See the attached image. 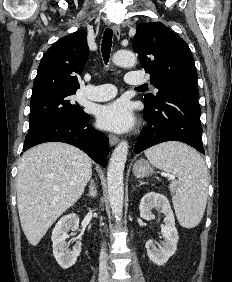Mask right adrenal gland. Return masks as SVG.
I'll return each mask as SVG.
<instances>
[{"mask_svg":"<svg viewBox=\"0 0 232 282\" xmlns=\"http://www.w3.org/2000/svg\"><path fill=\"white\" fill-rule=\"evenodd\" d=\"M96 195H97L96 185L94 183V180L91 179L90 185H89V192H88L87 196L94 199L96 197Z\"/></svg>","mask_w":232,"mask_h":282,"instance_id":"obj_1","label":"right adrenal gland"}]
</instances>
